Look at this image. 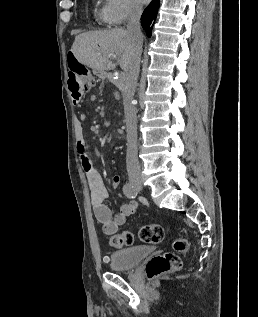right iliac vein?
I'll list each match as a JSON object with an SVG mask.
<instances>
[{
  "instance_id": "obj_1",
  "label": "right iliac vein",
  "mask_w": 258,
  "mask_h": 317,
  "mask_svg": "<svg viewBox=\"0 0 258 317\" xmlns=\"http://www.w3.org/2000/svg\"><path fill=\"white\" fill-rule=\"evenodd\" d=\"M131 186H135L140 190H143V182L141 179H131L130 181Z\"/></svg>"
}]
</instances>
